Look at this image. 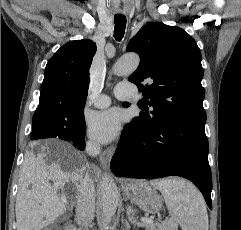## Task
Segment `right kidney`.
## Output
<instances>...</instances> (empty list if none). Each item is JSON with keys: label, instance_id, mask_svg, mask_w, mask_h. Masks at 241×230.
Wrapping results in <instances>:
<instances>
[{"label": "right kidney", "instance_id": "right-kidney-1", "mask_svg": "<svg viewBox=\"0 0 241 230\" xmlns=\"http://www.w3.org/2000/svg\"><path fill=\"white\" fill-rule=\"evenodd\" d=\"M44 230H52V229H51V228H49V229H48V228H46V229H44Z\"/></svg>", "mask_w": 241, "mask_h": 230}]
</instances>
